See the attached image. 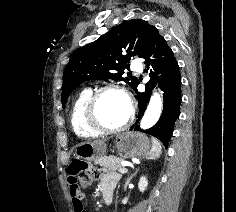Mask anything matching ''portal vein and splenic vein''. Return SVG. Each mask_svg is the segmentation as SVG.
Listing matches in <instances>:
<instances>
[{"mask_svg":"<svg viewBox=\"0 0 236 212\" xmlns=\"http://www.w3.org/2000/svg\"><path fill=\"white\" fill-rule=\"evenodd\" d=\"M123 167L119 170L121 174L127 173L128 169L125 166H131L129 163L122 164Z\"/></svg>","mask_w":236,"mask_h":212,"instance_id":"1","label":"portal vein and splenic vein"}]
</instances>
